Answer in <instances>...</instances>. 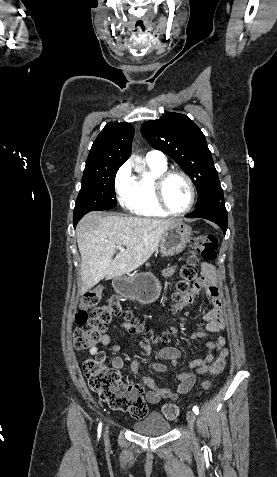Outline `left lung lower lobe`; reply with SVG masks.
<instances>
[{
  "instance_id": "obj_1",
  "label": "left lung lower lobe",
  "mask_w": 277,
  "mask_h": 477,
  "mask_svg": "<svg viewBox=\"0 0 277 477\" xmlns=\"http://www.w3.org/2000/svg\"><path fill=\"white\" fill-rule=\"evenodd\" d=\"M187 217L204 218L213 221L222 229L225 235L227 230V211L222 189L216 191L203 206L195 209V211L188 214Z\"/></svg>"
}]
</instances>
